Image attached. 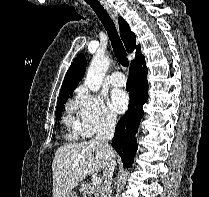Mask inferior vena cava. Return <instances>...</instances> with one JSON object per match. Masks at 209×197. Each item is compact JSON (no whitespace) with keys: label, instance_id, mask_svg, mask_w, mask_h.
Listing matches in <instances>:
<instances>
[{"label":"inferior vena cava","instance_id":"1","mask_svg":"<svg viewBox=\"0 0 209 197\" xmlns=\"http://www.w3.org/2000/svg\"><path fill=\"white\" fill-rule=\"evenodd\" d=\"M116 117L112 114H107L103 121L102 127L98 130L96 140L105 145L108 152V160L106 168L103 172V186L101 190V197H111V181L113 177L114 168L116 165L112 147L109 145V141L114 137Z\"/></svg>","mask_w":209,"mask_h":197}]
</instances>
